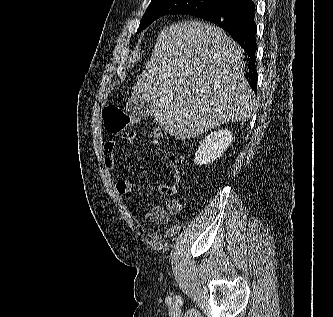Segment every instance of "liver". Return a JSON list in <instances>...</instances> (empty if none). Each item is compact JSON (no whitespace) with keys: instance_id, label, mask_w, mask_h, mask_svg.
<instances>
[{"instance_id":"1","label":"liver","mask_w":333,"mask_h":317,"mask_svg":"<svg viewBox=\"0 0 333 317\" xmlns=\"http://www.w3.org/2000/svg\"><path fill=\"white\" fill-rule=\"evenodd\" d=\"M242 58V48L221 28L175 23L159 34L131 99L152 101L156 122L179 140L246 120L257 103Z\"/></svg>"}]
</instances>
